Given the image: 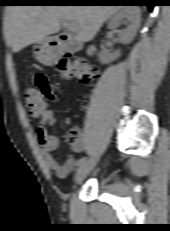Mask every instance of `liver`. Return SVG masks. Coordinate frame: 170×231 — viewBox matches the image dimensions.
I'll return each instance as SVG.
<instances>
[{
    "mask_svg": "<svg viewBox=\"0 0 170 231\" xmlns=\"http://www.w3.org/2000/svg\"><path fill=\"white\" fill-rule=\"evenodd\" d=\"M123 7L116 5H22L7 10L5 36L13 52L58 33L71 23L77 40L91 41L103 23Z\"/></svg>",
    "mask_w": 170,
    "mask_h": 231,
    "instance_id": "1",
    "label": "liver"
}]
</instances>
